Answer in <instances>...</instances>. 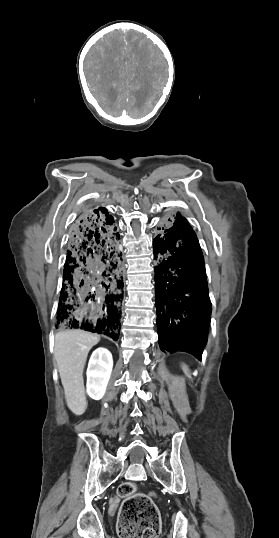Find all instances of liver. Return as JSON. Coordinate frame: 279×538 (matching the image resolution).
Here are the masks:
<instances>
[{"instance_id": "6515ba94", "label": "liver", "mask_w": 279, "mask_h": 538, "mask_svg": "<svg viewBox=\"0 0 279 538\" xmlns=\"http://www.w3.org/2000/svg\"><path fill=\"white\" fill-rule=\"evenodd\" d=\"M99 340L97 334L84 330H63L55 336L54 356L66 404L76 416L84 414L87 408L83 370L92 346Z\"/></svg>"}]
</instances>
